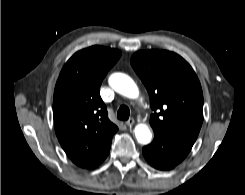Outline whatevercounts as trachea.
<instances>
[{"mask_svg": "<svg viewBox=\"0 0 245 195\" xmlns=\"http://www.w3.org/2000/svg\"><path fill=\"white\" fill-rule=\"evenodd\" d=\"M130 116V110L126 105H122L118 112H117V118L120 120H128Z\"/></svg>", "mask_w": 245, "mask_h": 195, "instance_id": "obj_1", "label": "trachea"}]
</instances>
